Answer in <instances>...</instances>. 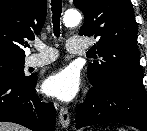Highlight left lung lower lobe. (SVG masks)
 <instances>
[{
	"mask_svg": "<svg viewBox=\"0 0 147 131\" xmlns=\"http://www.w3.org/2000/svg\"><path fill=\"white\" fill-rule=\"evenodd\" d=\"M75 128L120 123L147 131V96L144 87L113 82L89 90L76 114Z\"/></svg>",
	"mask_w": 147,
	"mask_h": 131,
	"instance_id": "left-lung-lower-lobe-1",
	"label": "left lung lower lobe"
}]
</instances>
